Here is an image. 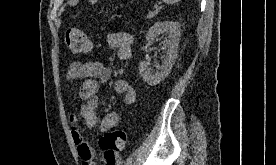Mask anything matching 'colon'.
Wrapping results in <instances>:
<instances>
[{
  "label": "colon",
  "mask_w": 276,
  "mask_h": 165,
  "mask_svg": "<svg viewBox=\"0 0 276 165\" xmlns=\"http://www.w3.org/2000/svg\"><path fill=\"white\" fill-rule=\"evenodd\" d=\"M65 44L72 53H87L91 50V42L83 30L72 27L66 30ZM128 141V134L124 130L109 131L102 135L100 148L108 157H113L122 151Z\"/></svg>",
  "instance_id": "5ec220e1"
}]
</instances>
